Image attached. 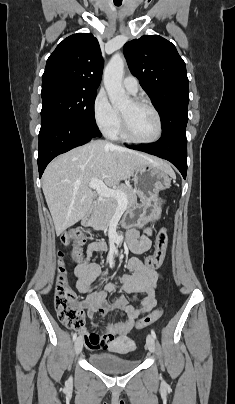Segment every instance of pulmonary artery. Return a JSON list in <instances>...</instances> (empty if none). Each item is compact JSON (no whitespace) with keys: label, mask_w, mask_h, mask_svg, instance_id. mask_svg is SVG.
Masks as SVG:
<instances>
[{"label":"pulmonary artery","mask_w":235,"mask_h":404,"mask_svg":"<svg viewBox=\"0 0 235 404\" xmlns=\"http://www.w3.org/2000/svg\"><path fill=\"white\" fill-rule=\"evenodd\" d=\"M122 85L130 94H136L138 92L139 83L134 76H126L122 80Z\"/></svg>","instance_id":"e3ab8cb5"}]
</instances>
